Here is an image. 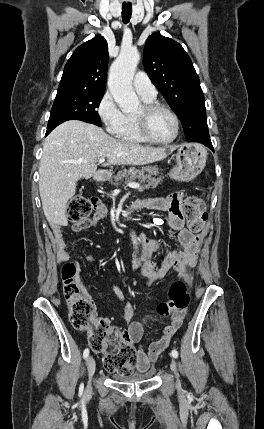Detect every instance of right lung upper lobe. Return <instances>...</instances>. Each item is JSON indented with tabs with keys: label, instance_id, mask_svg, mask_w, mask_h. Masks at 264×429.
<instances>
[{
	"label": "right lung upper lobe",
	"instance_id": "right-lung-upper-lobe-1",
	"mask_svg": "<svg viewBox=\"0 0 264 429\" xmlns=\"http://www.w3.org/2000/svg\"><path fill=\"white\" fill-rule=\"evenodd\" d=\"M107 65V41L102 36H95L79 46L69 58L58 91L105 92Z\"/></svg>",
	"mask_w": 264,
	"mask_h": 429
}]
</instances>
